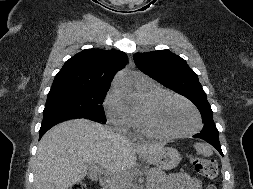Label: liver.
<instances>
[{"mask_svg": "<svg viewBox=\"0 0 253 189\" xmlns=\"http://www.w3.org/2000/svg\"><path fill=\"white\" fill-rule=\"evenodd\" d=\"M163 145L135 146L124 136L87 119H73L50 129L40 140L34 165L35 189H68L90 170L91 179L100 169L112 176L128 173L136 164V153L151 156ZM129 181L124 189H129Z\"/></svg>", "mask_w": 253, "mask_h": 189, "instance_id": "6515ba94", "label": "liver"}]
</instances>
